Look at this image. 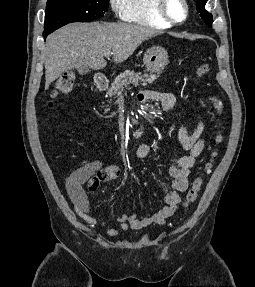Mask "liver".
I'll return each mask as SVG.
<instances>
[{"label": "liver", "mask_w": 255, "mask_h": 287, "mask_svg": "<svg viewBox=\"0 0 255 287\" xmlns=\"http://www.w3.org/2000/svg\"><path fill=\"white\" fill-rule=\"evenodd\" d=\"M156 30L138 24H68L50 34L43 50L45 90L68 70L89 66L102 70L107 66L103 56L113 52L116 64L128 60L136 48L156 36Z\"/></svg>", "instance_id": "obj_1"}]
</instances>
